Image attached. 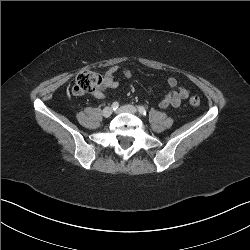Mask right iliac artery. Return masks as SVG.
<instances>
[{
    "label": "right iliac artery",
    "instance_id": "right-iliac-artery-1",
    "mask_svg": "<svg viewBox=\"0 0 250 250\" xmlns=\"http://www.w3.org/2000/svg\"><path fill=\"white\" fill-rule=\"evenodd\" d=\"M118 107H119V103H118V102H114V103L112 104V109H113V110H116Z\"/></svg>",
    "mask_w": 250,
    "mask_h": 250
}]
</instances>
